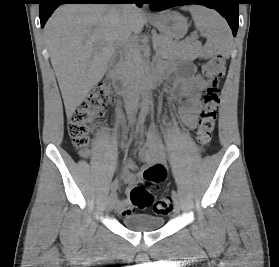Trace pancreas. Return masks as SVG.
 <instances>
[{
	"label": "pancreas",
	"instance_id": "1",
	"mask_svg": "<svg viewBox=\"0 0 279 267\" xmlns=\"http://www.w3.org/2000/svg\"><path fill=\"white\" fill-rule=\"evenodd\" d=\"M154 46L156 51L167 59H193L200 49V44L196 41L174 43L170 38L162 35L154 37ZM140 49L141 47L138 44H129L124 49V59L119 65L124 76H138L141 74Z\"/></svg>",
	"mask_w": 279,
	"mask_h": 267
}]
</instances>
